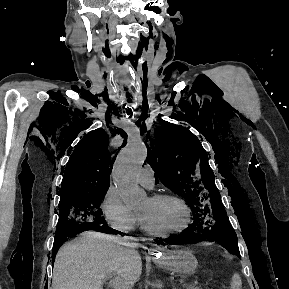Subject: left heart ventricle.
<instances>
[{"instance_id":"obj_1","label":"left heart ventricle","mask_w":289,"mask_h":289,"mask_svg":"<svg viewBox=\"0 0 289 289\" xmlns=\"http://www.w3.org/2000/svg\"><path fill=\"white\" fill-rule=\"evenodd\" d=\"M138 212L156 230L167 232L181 228L186 223V213L174 200L153 201L147 198Z\"/></svg>"}]
</instances>
